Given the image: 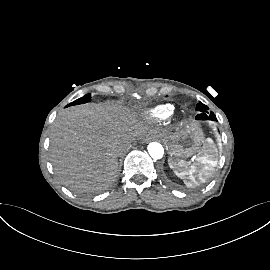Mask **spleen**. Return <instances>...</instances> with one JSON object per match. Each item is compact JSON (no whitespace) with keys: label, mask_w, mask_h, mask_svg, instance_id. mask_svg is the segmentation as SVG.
I'll return each instance as SVG.
<instances>
[{"label":"spleen","mask_w":270,"mask_h":270,"mask_svg":"<svg viewBox=\"0 0 270 270\" xmlns=\"http://www.w3.org/2000/svg\"><path fill=\"white\" fill-rule=\"evenodd\" d=\"M216 148L210 139H207L200 150V156L194 163L182 162L183 171L177 175L181 178L188 176L195 182L196 177L201 182H205L217 165V161L214 159V153ZM175 173V172H174Z\"/></svg>","instance_id":"1"}]
</instances>
